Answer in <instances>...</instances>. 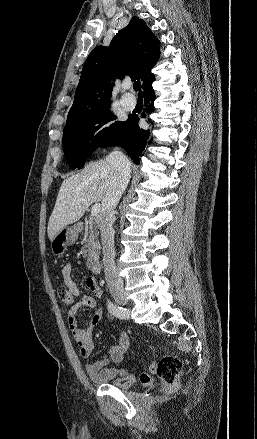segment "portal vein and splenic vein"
<instances>
[{"label": "portal vein and splenic vein", "mask_w": 257, "mask_h": 439, "mask_svg": "<svg viewBox=\"0 0 257 439\" xmlns=\"http://www.w3.org/2000/svg\"><path fill=\"white\" fill-rule=\"evenodd\" d=\"M100 209H101V205H100L99 203H96V204L92 207L91 215H92V216H97V215L99 214V212H100Z\"/></svg>", "instance_id": "1"}]
</instances>
